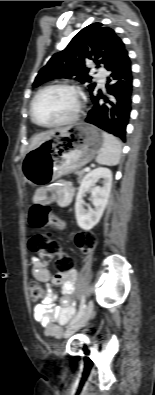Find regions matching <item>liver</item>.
<instances>
[{"mask_svg": "<svg viewBox=\"0 0 155 395\" xmlns=\"http://www.w3.org/2000/svg\"><path fill=\"white\" fill-rule=\"evenodd\" d=\"M55 132H56L55 130H51V131L42 132L40 134L35 135L31 139L29 150H32V149L36 148L37 146H39L42 142L49 140L51 138V136L54 135Z\"/></svg>", "mask_w": 155, "mask_h": 395, "instance_id": "1", "label": "liver"}]
</instances>
